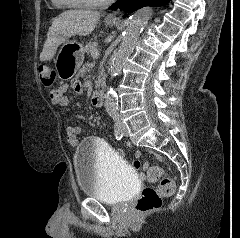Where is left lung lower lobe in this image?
<instances>
[{"label":"left lung lower lobe","mask_w":240,"mask_h":238,"mask_svg":"<svg viewBox=\"0 0 240 238\" xmlns=\"http://www.w3.org/2000/svg\"><path fill=\"white\" fill-rule=\"evenodd\" d=\"M169 1L170 0H117L109 9L134 12L144 6H161L167 4Z\"/></svg>","instance_id":"1"}]
</instances>
